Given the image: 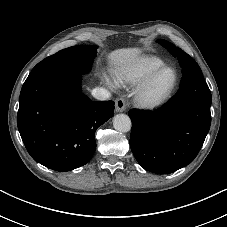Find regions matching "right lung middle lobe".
<instances>
[{
    "mask_svg": "<svg viewBox=\"0 0 227 227\" xmlns=\"http://www.w3.org/2000/svg\"><path fill=\"white\" fill-rule=\"evenodd\" d=\"M96 49L97 46L78 45L47 57L33 68L23 87L50 77L89 72L96 56Z\"/></svg>",
    "mask_w": 227,
    "mask_h": 227,
    "instance_id": "dd1d6c3e",
    "label": "right lung middle lobe"
}]
</instances>
